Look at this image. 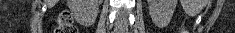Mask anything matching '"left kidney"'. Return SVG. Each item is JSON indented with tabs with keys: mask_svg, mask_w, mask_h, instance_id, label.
<instances>
[{
	"mask_svg": "<svg viewBox=\"0 0 235 33\" xmlns=\"http://www.w3.org/2000/svg\"><path fill=\"white\" fill-rule=\"evenodd\" d=\"M147 2L149 14L156 24L166 25L170 22L177 0H147Z\"/></svg>",
	"mask_w": 235,
	"mask_h": 33,
	"instance_id": "1",
	"label": "left kidney"
}]
</instances>
